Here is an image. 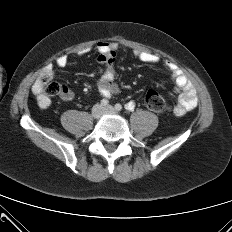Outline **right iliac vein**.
Wrapping results in <instances>:
<instances>
[{
	"instance_id": "right-iliac-vein-1",
	"label": "right iliac vein",
	"mask_w": 232,
	"mask_h": 232,
	"mask_svg": "<svg viewBox=\"0 0 232 232\" xmlns=\"http://www.w3.org/2000/svg\"><path fill=\"white\" fill-rule=\"evenodd\" d=\"M104 112V108L102 107V105L100 104H96L95 106H93L91 114L92 117L94 118H99Z\"/></svg>"
}]
</instances>
